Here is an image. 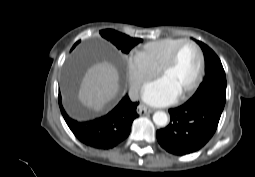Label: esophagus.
<instances>
[{
	"instance_id": "esophagus-1",
	"label": "esophagus",
	"mask_w": 255,
	"mask_h": 177,
	"mask_svg": "<svg viewBox=\"0 0 255 177\" xmlns=\"http://www.w3.org/2000/svg\"><path fill=\"white\" fill-rule=\"evenodd\" d=\"M155 109L154 108H151V107H148L144 104H140L138 107H137V113L140 115V116H144V115H147V114H150L152 112H154Z\"/></svg>"
}]
</instances>
